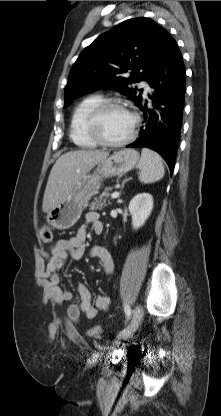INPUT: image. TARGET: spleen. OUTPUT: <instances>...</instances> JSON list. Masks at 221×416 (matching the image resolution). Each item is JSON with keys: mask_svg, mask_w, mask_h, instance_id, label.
<instances>
[{"mask_svg": "<svg viewBox=\"0 0 221 416\" xmlns=\"http://www.w3.org/2000/svg\"><path fill=\"white\" fill-rule=\"evenodd\" d=\"M138 168L140 170L139 180L146 184L159 181L165 174L162 158L158 153L148 148L142 149Z\"/></svg>", "mask_w": 221, "mask_h": 416, "instance_id": "1", "label": "spleen"}]
</instances>
